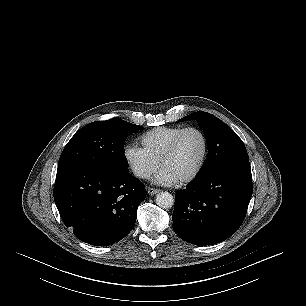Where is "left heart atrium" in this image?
Segmentation results:
<instances>
[{"label": "left heart atrium", "instance_id": "39dd6f15", "mask_svg": "<svg viewBox=\"0 0 306 306\" xmlns=\"http://www.w3.org/2000/svg\"><path fill=\"white\" fill-rule=\"evenodd\" d=\"M155 183L160 185H172L179 180L172 175L168 170L162 169L154 179Z\"/></svg>", "mask_w": 306, "mask_h": 306}]
</instances>
